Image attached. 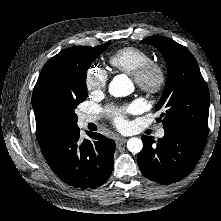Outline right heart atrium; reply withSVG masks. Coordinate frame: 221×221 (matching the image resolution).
Wrapping results in <instances>:
<instances>
[{
    "label": "right heart atrium",
    "instance_id": "d8ad5b80",
    "mask_svg": "<svg viewBox=\"0 0 221 221\" xmlns=\"http://www.w3.org/2000/svg\"><path fill=\"white\" fill-rule=\"evenodd\" d=\"M108 84V74L101 68L90 66L86 70L85 85L90 92L103 91Z\"/></svg>",
    "mask_w": 221,
    "mask_h": 221
}]
</instances>
